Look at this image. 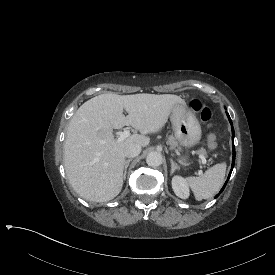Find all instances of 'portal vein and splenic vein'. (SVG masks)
<instances>
[{
	"label": "portal vein and splenic vein",
	"mask_w": 275,
	"mask_h": 275,
	"mask_svg": "<svg viewBox=\"0 0 275 275\" xmlns=\"http://www.w3.org/2000/svg\"><path fill=\"white\" fill-rule=\"evenodd\" d=\"M117 134L119 135L118 141H123L130 136V131L125 130L123 132H117ZM199 158L202 160V164H206V159L204 156L199 155Z\"/></svg>",
	"instance_id": "obj_1"
}]
</instances>
